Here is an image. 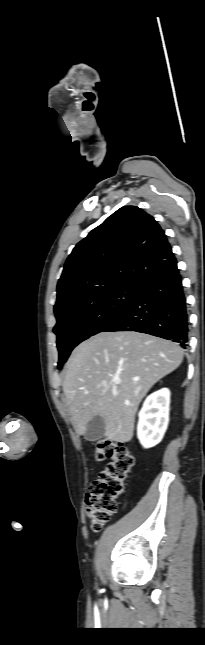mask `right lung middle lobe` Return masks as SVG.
I'll return each mask as SVG.
<instances>
[{
  "label": "right lung middle lobe",
  "instance_id": "right-lung-middle-lobe-1",
  "mask_svg": "<svg viewBox=\"0 0 205 645\" xmlns=\"http://www.w3.org/2000/svg\"><path fill=\"white\" fill-rule=\"evenodd\" d=\"M137 284H125L81 298L55 314L59 351L58 369L80 342L101 332L135 300Z\"/></svg>",
  "mask_w": 205,
  "mask_h": 645
}]
</instances>
